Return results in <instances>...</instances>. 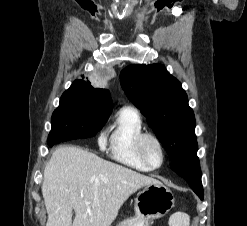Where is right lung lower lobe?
<instances>
[{"label": "right lung lower lobe", "mask_w": 247, "mask_h": 226, "mask_svg": "<svg viewBox=\"0 0 247 226\" xmlns=\"http://www.w3.org/2000/svg\"><path fill=\"white\" fill-rule=\"evenodd\" d=\"M50 146H53L54 144H49Z\"/></svg>", "instance_id": "obj_1"}]
</instances>
